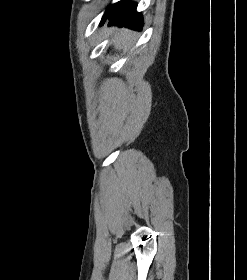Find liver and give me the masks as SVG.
<instances>
[{
	"label": "liver",
	"instance_id": "1",
	"mask_svg": "<svg viewBox=\"0 0 247 280\" xmlns=\"http://www.w3.org/2000/svg\"><path fill=\"white\" fill-rule=\"evenodd\" d=\"M114 28L110 29V32L114 33L113 41L114 43H122L127 44L130 41L131 38V32L127 29H118L116 30Z\"/></svg>",
	"mask_w": 247,
	"mask_h": 280
}]
</instances>
